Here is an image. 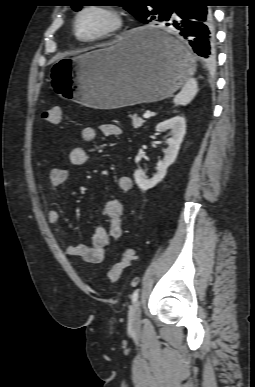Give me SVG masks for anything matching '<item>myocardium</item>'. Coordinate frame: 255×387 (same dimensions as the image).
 <instances>
[{
	"instance_id": "myocardium-1",
	"label": "myocardium",
	"mask_w": 255,
	"mask_h": 387,
	"mask_svg": "<svg viewBox=\"0 0 255 387\" xmlns=\"http://www.w3.org/2000/svg\"><path fill=\"white\" fill-rule=\"evenodd\" d=\"M91 11L106 15L109 18L110 22L109 25L101 32L90 37H84L79 31V21L85 13ZM123 26V14L117 8L109 5H86L77 11L73 20V32L75 37L85 43H94L113 37L122 30Z\"/></svg>"
}]
</instances>
